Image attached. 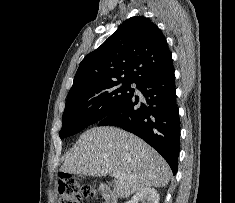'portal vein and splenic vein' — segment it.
Masks as SVG:
<instances>
[{"instance_id": "1", "label": "portal vein and splenic vein", "mask_w": 235, "mask_h": 203, "mask_svg": "<svg viewBox=\"0 0 235 203\" xmlns=\"http://www.w3.org/2000/svg\"><path fill=\"white\" fill-rule=\"evenodd\" d=\"M113 177L120 178V177H122V174L120 172H115V173H113Z\"/></svg>"}]
</instances>
